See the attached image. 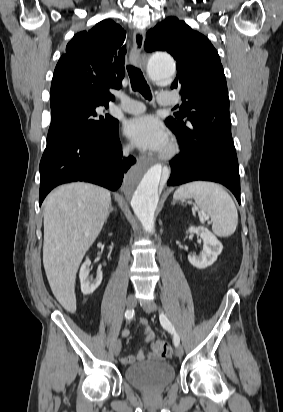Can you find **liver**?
I'll return each instance as SVG.
<instances>
[{"label":"liver","mask_w":283,"mask_h":412,"mask_svg":"<svg viewBox=\"0 0 283 412\" xmlns=\"http://www.w3.org/2000/svg\"><path fill=\"white\" fill-rule=\"evenodd\" d=\"M110 203L108 190L83 182L62 185L44 201L43 265L55 298L71 313L76 311V273Z\"/></svg>","instance_id":"6515ba94"}]
</instances>
